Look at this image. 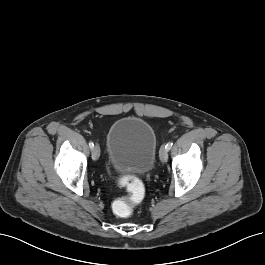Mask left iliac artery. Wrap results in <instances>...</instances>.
Instances as JSON below:
<instances>
[{
	"label": "left iliac artery",
	"mask_w": 265,
	"mask_h": 265,
	"mask_svg": "<svg viewBox=\"0 0 265 265\" xmlns=\"http://www.w3.org/2000/svg\"><path fill=\"white\" fill-rule=\"evenodd\" d=\"M172 145H173V142H168V143L166 144V148H167V150H170L171 147H172Z\"/></svg>",
	"instance_id": "44dca946"
}]
</instances>
